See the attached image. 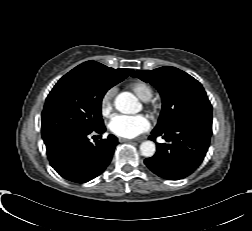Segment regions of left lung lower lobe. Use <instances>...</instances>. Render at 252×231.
Instances as JSON below:
<instances>
[{
  "mask_svg": "<svg viewBox=\"0 0 252 231\" xmlns=\"http://www.w3.org/2000/svg\"><path fill=\"white\" fill-rule=\"evenodd\" d=\"M212 134V118L193 116L182 119L162 132H153L155 140L162 136L168 144L157 143V152L145 159L146 166L158 176L177 180L190 175L203 161Z\"/></svg>",
  "mask_w": 252,
  "mask_h": 231,
  "instance_id": "0a47b994",
  "label": "left lung lower lobe"
}]
</instances>
